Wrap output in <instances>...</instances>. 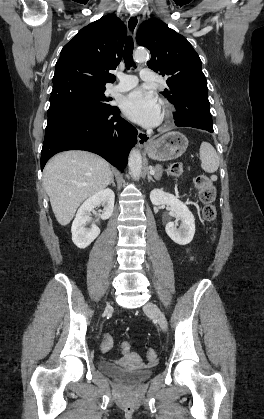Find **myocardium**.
<instances>
[{
    "label": "myocardium",
    "mask_w": 264,
    "mask_h": 419,
    "mask_svg": "<svg viewBox=\"0 0 264 419\" xmlns=\"http://www.w3.org/2000/svg\"><path fill=\"white\" fill-rule=\"evenodd\" d=\"M161 110H162V123L167 124L173 116V107L169 102L163 101L161 103Z\"/></svg>",
    "instance_id": "1"
}]
</instances>
